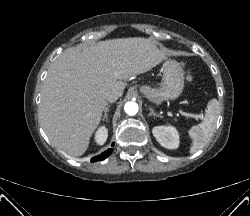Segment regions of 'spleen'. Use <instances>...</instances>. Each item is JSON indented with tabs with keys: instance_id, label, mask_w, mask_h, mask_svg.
<instances>
[{
	"instance_id": "3e777b00",
	"label": "spleen",
	"mask_w": 250,
	"mask_h": 216,
	"mask_svg": "<svg viewBox=\"0 0 250 216\" xmlns=\"http://www.w3.org/2000/svg\"><path fill=\"white\" fill-rule=\"evenodd\" d=\"M220 111V104L217 99H211L207 104V109L203 121L193 126L188 134L192 139L190 153H195L202 149L214 134L216 121Z\"/></svg>"
}]
</instances>
